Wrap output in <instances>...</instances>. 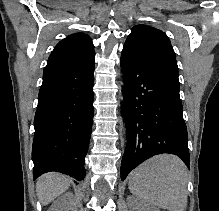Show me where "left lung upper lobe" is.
Masks as SVG:
<instances>
[{
    "label": "left lung upper lobe",
    "mask_w": 219,
    "mask_h": 211,
    "mask_svg": "<svg viewBox=\"0 0 219 211\" xmlns=\"http://www.w3.org/2000/svg\"><path fill=\"white\" fill-rule=\"evenodd\" d=\"M122 53L180 84L175 52L161 30L142 24L134 26Z\"/></svg>",
    "instance_id": "left-lung-upper-lobe-1"
}]
</instances>
